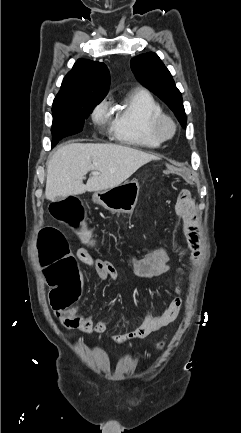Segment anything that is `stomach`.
<instances>
[{"label":"stomach","instance_id":"1","mask_svg":"<svg viewBox=\"0 0 241 433\" xmlns=\"http://www.w3.org/2000/svg\"><path fill=\"white\" fill-rule=\"evenodd\" d=\"M140 185L137 180L118 185L93 195V202L112 213H131L138 202Z\"/></svg>","mask_w":241,"mask_h":433}]
</instances>
